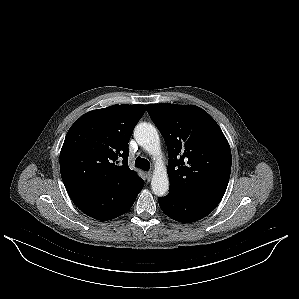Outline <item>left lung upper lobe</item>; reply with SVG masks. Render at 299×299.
Segmentation results:
<instances>
[{
	"mask_svg": "<svg viewBox=\"0 0 299 299\" xmlns=\"http://www.w3.org/2000/svg\"><path fill=\"white\" fill-rule=\"evenodd\" d=\"M168 148L170 190L224 194L231 172L229 143L215 120L194 105H147Z\"/></svg>",
	"mask_w": 299,
	"mask_h": 299,
	"instance_id": "5c2ea615",
	"label": "left lung upper lobe"
}]
</instances>
